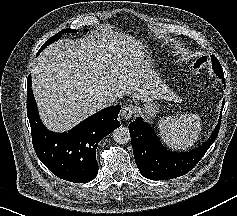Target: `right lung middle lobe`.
<instances>
[{
	"label": "right lung middle lobe",
	"mask_w": 237,
	"mask_h": 216,
	"mask_svg": "<svg viewBox=\"0 0 237 216\" xmlns=\"http://www.w3.org/2000/svg\"><path fill=\"white\" fill-rule=\"evenodd\" d=\"M88 31V30H86ZM76 30L74 29H63L62 31H60L59 33L55 34L54 36H52L47 42H45V44L40 48L39 52L37 53V55L43 50L45 49L49 44L55 42L56 40L60 39L63 33H75Z\"/></svg>",
	"instance_id": "right-lung-middle-lobe-1"
}]
</instances>
